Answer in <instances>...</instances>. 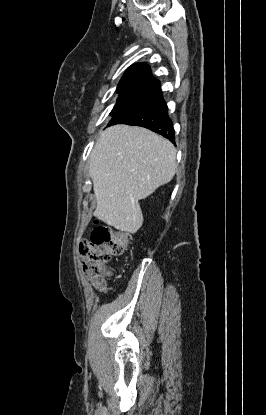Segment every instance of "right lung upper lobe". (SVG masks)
<instances>
[{"label": "right lung upper lobe", "mask_w": 266, "mask_h": 415, "mask_svg": "<svg viewBox=\"0 0 266 415\" xmlns=\"http://www.w3.org/2000/svg\"><path fill=\"white\" fill-rule=\"evenodd\" d=\"M160 89V82L155 80L150 67L145 63L130 66L121 78L119 92L143 93L150 95Z\"/></svg>", "instance_id": "obj_1"}]
</instances>
